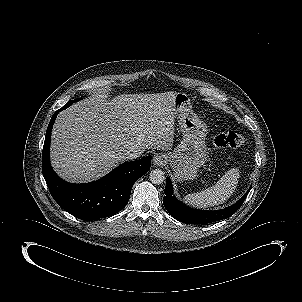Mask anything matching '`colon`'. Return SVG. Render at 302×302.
Returning <instances> with one entry per match:
<instances>
[{
	"label": "colon",
	"instance_id": "1",
	"mask_svg": "<svg viewBox=\"0 0 302 302\" xmlns=\"http://www.w3.org/2000/svg\"><path fill=\"white\" fill-rule=\"evenodd\" d=\"M245 138L242 134L237 132L220 133L213 137L212 147L220 148H235L244 144Z\"/></svg>",
	"mask_w": 302,
	"mask_h": 302
}]
</instances>
